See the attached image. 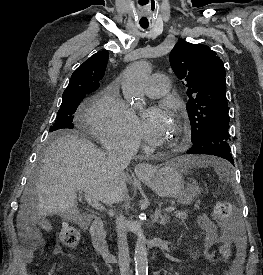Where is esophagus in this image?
Segmentation results:
<instances>
[{
	"instance_id": "1",
	"label": "esophagus",
	"mask_w": 263,
	"mask_h": 275,
	"mask_svg": "<svg viewBox=\"0 0 263 275\" xmlns=\"http://www.w3.org/2000/svg\"><path fill=\"white\" fill-rule=\"evenodd\" d=\"M152 165L149 163H138L135 168L134 171L136 173V175L138 176H144L146 174H148L151 170H152Z\"/></svg>"
}]
</instances>
